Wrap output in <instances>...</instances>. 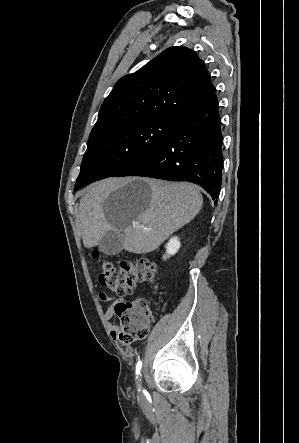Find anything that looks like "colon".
<instances>
[{
	"instance_id": "colon-1",
	"label": "colon",
	"mask_w": 299,
	"mask_h": 443,
	"mask_svg": "<svg viewBox=\"0 0 299 443\" xmlns=\"http://www.w3.org/2000/svg\"><path fill=\"white\" fill-rule=\"evenodd\" d=\"M157 265L150 260L124 261L120 269L104 261L99 274L100 283L118 295L131 294L137 283H151L156 279ZM119 319L118 339L124 351L138 340L144 339L154 323V315L142 298L116 304Z\"/></svg>"
}]
</instances>
